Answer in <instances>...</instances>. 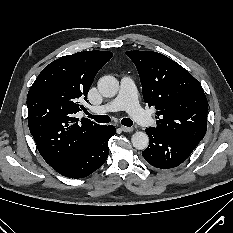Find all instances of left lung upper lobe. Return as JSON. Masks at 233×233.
<instances>
[{
    "label": "left lung upper lobe",
    "mask_w": 233,
    "mask_h": 233,
    "mask_svg": "<svg viewBox=\"0 0 233 233\" xmlns=\"http://www.w3.org/2000/svg\"><path fill=\"white\" fill-rule=\"evenodd\" d=\"M142 85L143 99L155 106L153 129L199 143L207 131L208 101L200 83L182 66L163 54L127 51Z\"/></svg>",
    "instance_id": "obj_1"
}]
</instances>
